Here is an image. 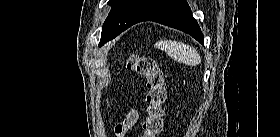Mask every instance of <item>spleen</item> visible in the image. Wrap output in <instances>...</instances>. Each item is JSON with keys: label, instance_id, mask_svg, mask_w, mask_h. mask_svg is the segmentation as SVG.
<instances>
[{"label": "spleen", "instance_id": "3e777b00", "mask_svg": "<svg viewBox=\"0 0 280 137\" xmlns=\"http://www.w3.org/2000/svg\"><path fill=\"white\" fill-rule=\"evenodd\" d=\"M154 46L179 63L195 66L201 62V57L197 50L183 42L164 40L156 42Z\"/></svg>", "mask_w": 280, "mask_h": 137}]
</instances>
